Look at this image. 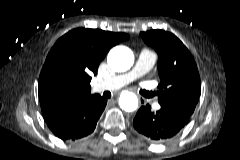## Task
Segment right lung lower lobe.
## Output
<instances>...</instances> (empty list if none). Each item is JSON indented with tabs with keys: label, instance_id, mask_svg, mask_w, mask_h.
Returning a JSON list of instances; mask_svg holds the SVG:
<instances>
[{
	"label": "right lung lower lobe",
	"instance_id": "1",
	"mask_svg": "<svg viewBox=\"0 0 240 160\" xmlns=\"http://www.w3.org/2000/svg\"><path fill=\"white\" fill-rule=\"evenodd\" d=\"M107 99L90 95L73 105L55 109L44 120L55 136L62 140H77L91 134L100 118Z\"/></svg>",
	"mask_w": 240,
	"mask_h": 160
}]
</instances>
